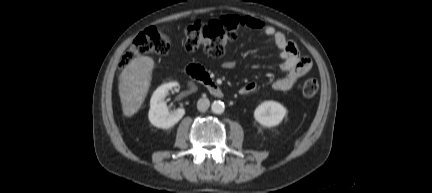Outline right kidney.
I'll list each match as a JSON object with an SVG mask.
<instances>
[{"instance_id": "1", "label": "right kidney", "mask_w": 432, "mask_h": 193, "mask_svg": "<svg viewBox=\"0 0 432 193\" xmlns=\"http://www.w3.org/2000/svg\"><path fill=\"white\" fill-rule=\"evenodd\" d=\"M178 86L177 82H170L159 86L153 93L150 100L149 121L152 125L168 129L177 124L185 114L183 108L169 112L165 98L168 91Z\"/></svg>"}]
</instances>
